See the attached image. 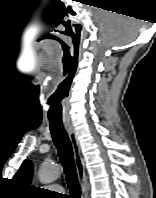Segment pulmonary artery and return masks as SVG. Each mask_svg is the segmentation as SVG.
<instances>
[{
	"label": "pulmonary artery",
	"mask_w": 156,
	"mask_h": 198,
	"mask_svg": "<svg viewBox=\"0 0 156 198\" xmlns=\"http://www.w3.org/2000/svg\"><path fill=\"white\" fill-rule=\"evenodd\" d=\"M50 189L55 190V191H59V192L63 191V188L59 185H52L50 187Z\"/></svg>",
	"instance_id": "pulmonary-artery-1"
}]
</instances>
